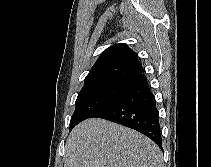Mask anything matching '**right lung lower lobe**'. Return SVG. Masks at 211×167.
<instances>
[{
    "instance_id": "obj_1",
    "label": "right lung lower lobe",
    "mask_w": 211,
    "mask_h": 167,
    "mask_svg": "<svg viewBox=\"0 0 211 167\" xmlns=\"http://www.w3.org/2000/svg\"><path fill=\"white\" fill-rule=\"evenodd\" d=\"M131 86L93 117L103 118L149 137L162 148L159 112L147 77L142 72L131 80Z\"/></svg>"
}]
</instances>
